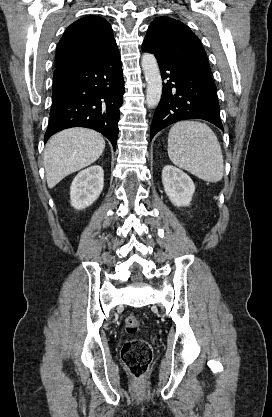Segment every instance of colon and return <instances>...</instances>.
<instances>
[{"mask_svg":"<svg viewBox=\"0 0 272 417\" xmlns=\"http://www.w3.org/2000/svg\"><path fill=\"white\" fill-rule=\"evenodd\" d=\"M141 326L140 319L131 315L125 320L126 331L130 334L136 333ZM152 348L143 339L135 338L126 341L122 347L121 358L124 367L135 379H142L147 373L152 361Z\"/></svg>","mask_w":272,"mask_h":417,"instance_id":"5ec220e1","label":"colon"}]
</instances>
